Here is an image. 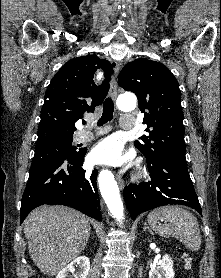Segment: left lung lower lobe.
I'll return each instance as SVG.
<instances>
[{"label":"left lung lower lobe","mask_w":221,"mask_h":278,"mask_svg":"<svg viewBox=\"0 0 221 278\" xmlns=\"http://www.w3.org/2000/svg\"><path fill=\"white\" fill-rule=\"evenodd\" d=\"M151 180L139 185L130 184L123 195L130 216L150 209L182 204L195 209L202 215L198 197L190 179L185 154L170 153L154 162H147Z\"/></svg>","instance_id":"left-lung-lower-lobe-1"}]
</instances>
